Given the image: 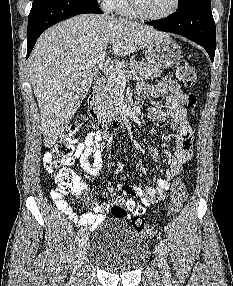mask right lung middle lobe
<instances>
[{
	"instance_id": "1",
	"label": "right lung middle lobe",
	"mask_w": 233,
	"mask_h": 286,
	"mask_svg": "<svg viewBox=\"0 0 233 286\" xmlns=\"http://www.w3.org/2000/svg\"><path fill=\"white\" fill-rule=\"evenodd\" d=\"M40 1H42V0H33V4H37V3L40 2ZM90 1H94V2L97 3V0H90Z\"/></svg>"
}]
</instances>
